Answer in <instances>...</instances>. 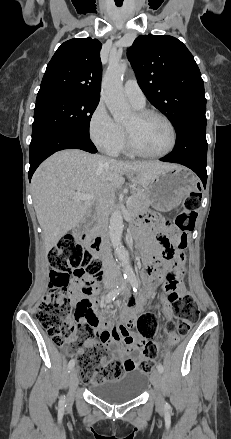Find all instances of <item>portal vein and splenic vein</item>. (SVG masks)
<instances>
[{
	"label": "portal vein and splenic vein",
	"instance_id": "portal-vein-and-splenic-vein-1",
	"mask_svg": "<svg viewBox=\"0 0 231 439\" xmlns=\"http://www.w3.org/2000/svg\"><path fill=\"white\" fill-rule=\"evenodd\" d=\"M73 198L76 199V200H88V201H90V200H93L94 197H93L91 194H81V193H77V194L74 195ZM131 200H132V197H130V198L128 199V201H127V206L130 205Z\"/></svg>",
	"mask_w": 231,
	"mask_h": 439
}]
</instances>
